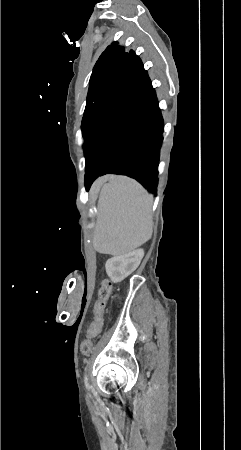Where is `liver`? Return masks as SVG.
Returning a JSON list of instances; mask_svg holds the SVG:
<instances>
[{"label": "liver", "instance_id": "liver-1", "mask_svg": "<svg viewBox=\"0 0 241 450\" xmlns=\"http://www.w3.org/2000/svg\"><path fill=\"white\" fill-rule=\"evenodd\" d=\"M112 176H110V178H108V180H111Z\"/></svg>", "mask_w": 241, "mask_h": 450}]
</instances>
